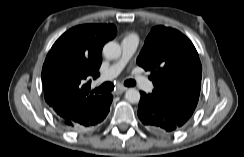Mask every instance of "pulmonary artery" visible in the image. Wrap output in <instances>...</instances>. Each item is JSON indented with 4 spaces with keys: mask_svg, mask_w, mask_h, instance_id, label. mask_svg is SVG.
<instances>
[{
    "mask_svg": "<svg viewBox=\"0 0 244 157\" xmlns=\"http://www.w3.org/2000/svg\"><path fill=\"white\" fill-rule=\"evenodd\" d=\"M121 47V57L101 73L99 82L110 81L119 75L127 62L135 53L138 47V38L134 35L125 37L121 42ZM136 83L145 91H151L153 88L152 82L142 76H139L136 79Z\"/></svg>",
    "mask_w": 244,
    "mask_h": 157,
    "instance_id": "1",
    "label": "pulmonary artery"
}]
</instances>
